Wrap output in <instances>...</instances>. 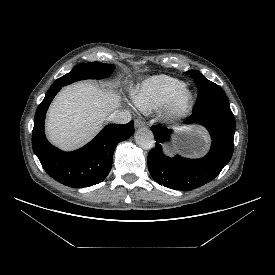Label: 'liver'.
I'll list each match as a JSON object with an SVG mask.
<instances>
[{"label": "liver", "mask_w": 275, "mask_h": 275, "mask_svg": "<svg viewBox=\"0 0 275 275\" xmlns=\"http://www.w3.org/2000/svg\"><path fill=\"white\" fill-rule=\"evenodd\" d=\"M119 102L118 95L90 82L66 86L49 108L46 122L49 140L67 150L83 146L98 133Z\"/></svg>", "instance_id": "liver-1"}]
</instances>
